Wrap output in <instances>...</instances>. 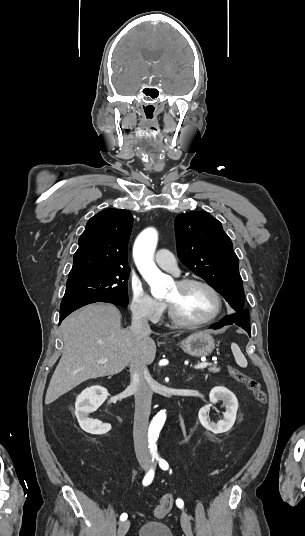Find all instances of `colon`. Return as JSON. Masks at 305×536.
<instances>
[{"label": "colon", "mask_w": 305, "mask_h": 536, "mask_svg": "<svg viewBox=\"0 0 305 536\" xmlns=\"http://www.w3.org/2000/svg\"><path fill=\"white\" fill-rule=\"evenodd\" d=\"M227 372L232 379L241 384H244L253 393L258 403L264 404L266 402L267 393L262 388L261 383L257 379L244 373L243 371L234 366H228ZM173 503V494L170 492L164 493L160 501L154 508V515L157 517H162L166 515L172 509Z\"/></svg>", "instance_id": "5ec220e1"}]
</instances>
